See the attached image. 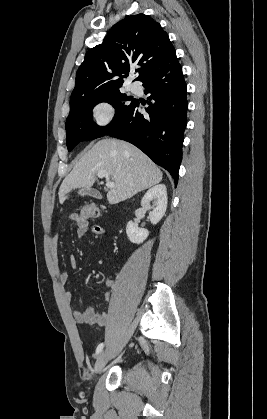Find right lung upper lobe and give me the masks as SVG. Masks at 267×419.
Instances as JSON below:
<instances>
[{
  "mask_svg": "<svg viewBox=\"0 0 267 419\" xmlns=\"http://www.w3.org/2000/svg\"><path fill=\"white\" fill-rule=\"evenodd\" d=\"M177 61L175 49L160 24L144 14L116 23L103 43L90 49L76 74L70 103L82 97L119 90L134 65L137 81Z\"/></svg>",
  "mask_w": 267,
  "mask_h": 419,
  "instance_id": "right-lung-upper-lobe-1",
  "label": "right lung upper lobe"
}]
</instances>
